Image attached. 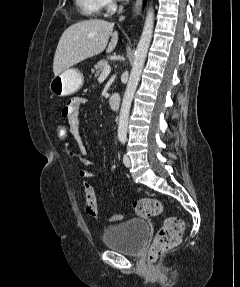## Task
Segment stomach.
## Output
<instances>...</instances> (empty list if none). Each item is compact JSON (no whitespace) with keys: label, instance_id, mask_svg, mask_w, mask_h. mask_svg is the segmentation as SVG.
Wrapping results in <instances>:
<instances>
[{"label":"stomach","instance_id":"0dacf381","mask_svg":"<svg viewBox=\"0 0 240 287\" xmlns=\"http://www.w3.org/2000/svg\"><path fill=\"white\" fill-rule=\"evenodd\" d=\"M83 83L82 72L75 68H68L51 79L49 90L57 97L68 96L77 92Z\"/></svg>","mask_w":240,"mask_h":287}]
</instances>
